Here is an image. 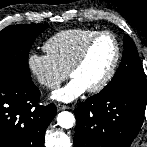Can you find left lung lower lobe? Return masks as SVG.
<instances>
[{"label":"left lung lower lobe","instance_id":"0a47b994","mask_svg":"<svg viewBox=\"0 0 147 147\" xmlns=\"http://www.w3.org/2000/svg\"><path fill=\"white\" fill-rule=\"evenodd\" d=\"M147 91L121 88L98 93L75 110V147H129L140 130Z\"/></svg>","mask_w":147,"mask_h":147}]
</instances>
